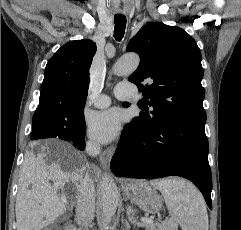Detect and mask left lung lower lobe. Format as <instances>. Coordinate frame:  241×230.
Instances as JSON below:
<instances>
[{
	"instance_id": "left-lung-lower-lobe-1",
	"label": "left lung lower lobe",
	"mask_w": 241,
	"mask_h": 230,
	"mask_svg": "<svg viewBox=\"0 0 241 230\" xmlns=\"http://www.w3.org/2000/svg\"><path fill=\"white\" fill-rule=\"evenodd\" d=\"M111 170L118 177L181 176L192 181L212 209V176L204 125L166 120L153 130L136 118L122 132Z\"/></svg>"
}]
</instances>
